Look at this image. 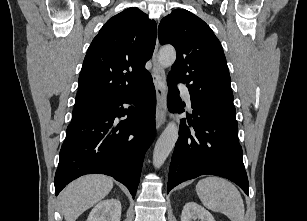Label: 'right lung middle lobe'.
I'll return each mask as SVG.
<instances>
[{
	"label": "right lung middle lobe",
	"mask_w": 307,
	"mask_h": 221,
	"mask_svg": "<svg viewBox=\"0 0 307 221\" xmlns=\"http://www.w3.org/2000/svg\"><path fill=\"white\" fill-rule=\"evenodd\" d=\"M105 104H91V105H82V106H75L73 110V117L71 123L80 121L90 115H93L100 111Z\"/></svg>",
	"instance_id": "1"
}]
</instances>
